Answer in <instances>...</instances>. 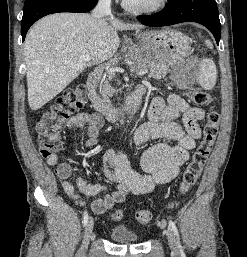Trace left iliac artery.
Returning <instances> with one entry per match:
<instances>
[{
    "label": "left iliac artery",
    "instance_id": "1",
    "mask_svg": "<svg viewBox=\"0 0 247 257\" xmlns=\"http://www.w3.org/2000/svg\"><path fill=\"white\" fill-rule=\"evenodd\" d=\"M169 226H170L171 230L173 231L174 235L176 236L177 244H178V247H179L180 251L183 253L182 247H181L180 241H179L178 230H177V227H176L175 223L172 220H169Z\"/></svg>",
    "mask_w": 247,
    "mask_h": 257
}]
</instances>
